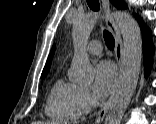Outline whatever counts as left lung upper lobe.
I'll return each mask as SVG.
<instances>
[{
	"instance_id": "1",
	"label": "left lung upper lobe",
	"mask_w": 156,
	"mask_h": 124,
	"mask_svg": "<svg viewBox=\"0 0 156 124\" xmlns=\"http://www.w3.org/2000/svg\"><path fill=\"white\" fill-rule=\"evenodd\" d=\"M111 2L118 8L124 9L126 5L123 0H111Z\"/></svg>"
}]
</instances>
